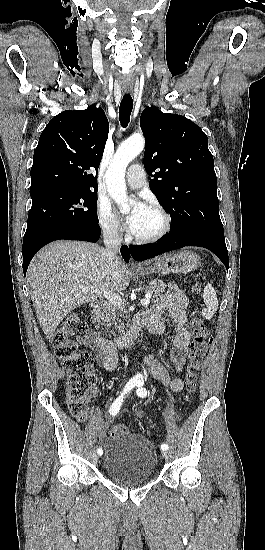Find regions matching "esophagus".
I'll use <instances>...</instances> for the list:
<instances>
[{
  "mask_svg": "<svg viewBox=\"0 0 265 550\" xmlns=\"http://www.w3.org/2000/svg\"><path fill=\"white\" fill-rule=\"evenodd\" d=\"M131 265H132L133 267H137V264L133 261L132 258H131Z\"/></svg>",
  "mask_w": 265,
  "mask_h": 550,
  "instance_id": "34e87169",
  "label": "esophagus"
}]
</instances>
